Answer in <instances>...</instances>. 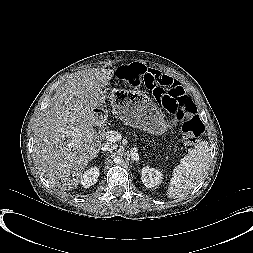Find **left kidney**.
<instances>
[{"label":"left kidney","instance_id":"1","mask_svg":"<svg viewBox=\"0 0 253 253\" xmlns=\"http://www.w3.org/2000/svg\"><path fill=\"white\" fill-rule=\"evenodd\" d=\"M141 179L147 188H153L161 183L163 174L155 168L146 166L141 170Z\"/></svg>","mask_w":253,"mask_h":253}]
</instances>
